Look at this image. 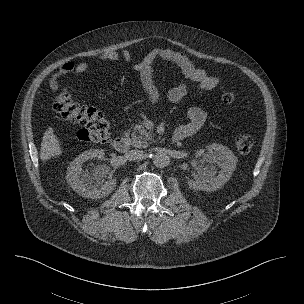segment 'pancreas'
Returning <instances> with one entry per match:
<instances>
[{
	"label": "pancreas",
	"instance_id": "obj_1",
	"mask_svg": "<svg viewBox=\"0 0 304 304\" xmlns=\"http://www.w3.org/2000/svg\"><path fill=\"white\" fill-rule=\"evenodd\" d=\"M131 134L130 143L136 148H145L148 146L147 141H153V135L144 128V124H137ZM126 134L129 135V132Z\"/></svg>",
	"mask_w": 304,
	"mask_h": 304
}]
</instances>
